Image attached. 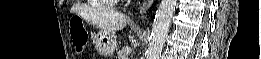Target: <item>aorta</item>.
<instances>
[{"instance_id":"1","label":"aorta","mask_w":261,"mask_h":59,"mask_svg":"<svg viewBox=\"0 0 261 59\" xmlns=\"http://www.w3.org/2000/svg\"><path fill=\"white\" fill-rule=\"evenodd\" d=\"M177 2L178 0H161L152 25L147 59L160 58L171 25V20L177 7Z\"/></svg>"}]
</instances>
